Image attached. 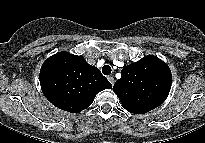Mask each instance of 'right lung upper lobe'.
I'll return each instance as SVG.
<instances>
[{
  "instance_id": "obj_1",
  "label": "right lung upper lobe",
  "mask_w": 205,
  "mask_h": 143,
  "mask_svg": "<svg viewBox=\"0 0 205 143\" xmlns=\"http://www.w3.org/2000/svg\"><path fill=\"white\" fill-rule=\"evenodd\" d=\"M45 97L56 107L78 113L89 107L100 91L112 88L100 70L83 56L59 52L49 57L40 70Z\"/></svg>"
}]
</instances>
